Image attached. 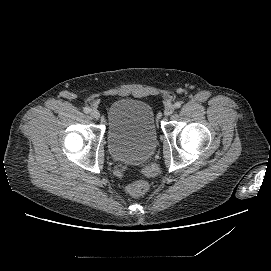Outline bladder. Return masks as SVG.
I'll return each mask as SVG.
<instances>
[{
	"label": "bladder",
	"instance_id": "1",
	"mask_svg": "<svg viewBox=\"0 0 271 271\" xmlns=\"http://www.w3.org/2000/svg\"><path fill=\"white\" fill-rule=\"evenodd\" d=\"M108 149L116 161L141 164L157 146V132L151 106L141 100L120 99L108 109Z\"/></svg>",
	"mask_w": 271,
	"mask_h": 271
}]
</instances>
